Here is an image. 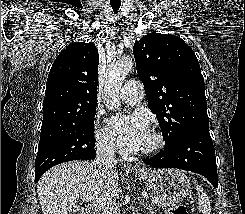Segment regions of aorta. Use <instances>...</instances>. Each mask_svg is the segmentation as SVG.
Listing matches in <instances>:
<instances>
[{
	"label": "aorta",
	"mask_w": 245,
	"mask_h": 214,
	"mask_svg": "<svg viewBox=\"0 0 245 214\" xmlns=\"http://www.w3.org/2000/svg\"><path fill=\"white\" fill-rule=\"evenodd\" d=\"M133 65L130 57H123L111 63L106 71L105 80V106L110 111H115L120 108L119 90L123 84L124 79L128 75Z\"/></svg>",
	"instance_id": "762f6f07"
}]
</instances>
